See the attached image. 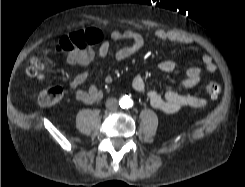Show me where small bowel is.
Listing matches in <instances>:
<instances>
[{"label": "small bowel", "mask_w": 245, "mask_h": 187, "mask_svg": "<svg viewBox=\"0 0 245 187\" xmlns=\"http://www.w3.org/2000/svg\"><path fill=\"white\" fill-rule=\"evenodd\" d=\"M152 36L162 43H179L191 45L192 38L183 33L173 30L156 29ZM87 40L91 44L98 43L99 47L96 51L92 49H83L69 52L66 56V61L71 65L86 66L92 63L94 59H105L111 52L110 41L126 40L128 44L115 52V59L123 61L137 53L145 44L144 35L137 30H113L106 37L101 30L97 28H89L86 30ZM204 71L207 74H214L217 71V66L213 58L205 54L202 57ZM158 70L163 73H172L176 65L173 61L166 60L158 64ZM88 72L83 71L77 74L69 83L70 89L74 92L77 101L90 104L98 101L102 97V92L96 86H91L87 90L80 89V86L87 80ZM203 78V72L198 67L189 68L184 78L178 85L180 89H187L198 84ZM106 81L110 82V76L106 77ZM132 87L139 93H146L147 98L152 107L155 109L172 114L185 107H201L205 105V100L199 97L184 95L178 93L174 88H166L164 94H160L155 90L147 89L145 80L142 76L137 75L132 80Z\"/></svg>", "instance_id": "obj_1"}]
</instances>
